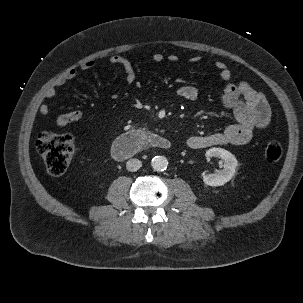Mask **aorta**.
Returning <instances> with one entry per match:
<instances>
[{"instance_id": "762f6f07", "label": "aorta", "mask_w": 303, "mask_h": 303, "mask_svg": "<svg viewBox=\"0 0 303 303\" xmlns=\"http://www.w3.org/2000/svg\"><path fill=\"white\" fill-rule=\"evenodd\" d=\"M151 165L155 171H164L168 166V160L164 156H155L152 159Z\"/></svg>"}]
</instances>
